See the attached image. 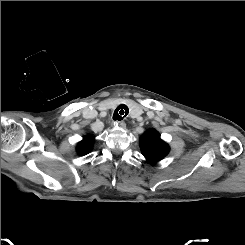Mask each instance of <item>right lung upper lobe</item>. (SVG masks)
I'll return each instance as SVG.
<instances>
[{
  "label": "right lung upper lobe",
  "mask_w": 245,
  "mask_h": 245,
  "mask_svg": "<svg viewBox=\"0 0 245 245\" xmlns=\"http://www.w3.org/2000/svg\"><path fill=\"white\" fill-rule=\"evenodd\" d=\"M93 137L91 135L84 137V139L78 143L77 152L80 155L88 153L92 149Z\"/></svg>",
  "instance_id": "obj_1"
}]
</instances>
